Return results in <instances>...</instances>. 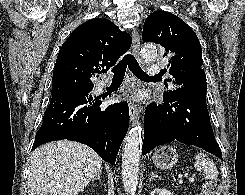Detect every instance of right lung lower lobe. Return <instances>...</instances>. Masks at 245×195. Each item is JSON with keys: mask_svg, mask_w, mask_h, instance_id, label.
<instances>
[{"mask_svg": "<svg viewBox=\"0 0 245 195\" xmlns=\"http://www.w3.org/2000/svg\"><path fill=\"white\" fill-rule=\"evenodd\" d=\"M93 87L52 97L32 150L46 142L67 139L84 143L106 162L115 163L129 126L128 104L103 107L102 101L90 94Z\"/></svg>", "mask_w": 245, "mask_h": 195, "instance_id": "right-lung-lower-lobe-1", "label": "right lung lower lobe"}]
</instances>
